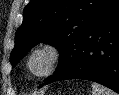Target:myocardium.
Instances as JSON below:
<instances>
[{
	"mask_svg": "<svg viewBox=\"0 0 119 95\" xmlns=\"http://www.w3.org/2000/svg\"><path fill=\"white\" fill-rule=\"evenodd\" d=\"M39 53H46L49 57L47 66L42 71H35L32 69L31 61L33 57ZM62 58V49L61 47L50 41H45L36 44L31 48L27 57H26V68L28 72L37 78H45L50 76L55 69L57 68L59 62Z\"/></svg>",
	"mask_w": 119,
	"mask_h": 95,
	"instance_id": "obj_1",
	"label": "myocardium"
}]
</instances>
